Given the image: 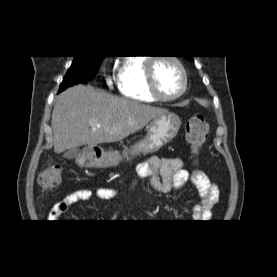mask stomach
Here are the masks:
<instances>
[{
  "instance_id": "0dacf381",
  "label": "stomach",
  "mask_w": 277,
  "mask_h": 277,
  "mask_svg": "<svg viewBox=\"0 0 277 277\" xmlns=\"http://www.w3.org/2000/svg\"><path fill=\"white\" fill-rule=\"evenodd\" d=\"M180 125V118L170 112L151 120L147 126L145 139L132 147L130 153L138 154L140 152L151 153L158 151L177 135ZM123 158L128 159L127 152L123 154V157L117 153L102 152V156L97 158L92 151H89L82 156L80 163L85 166L113 167L117 166Z\"/></svg>"
}]
</instances>
